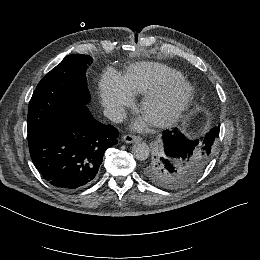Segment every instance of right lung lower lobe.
<instances>
[{
	"label": "right lung lower lobe",
	"mask_w": 260,
	"mask_h": 260,
	"mask_svg": "<svg viewBox=\"0 0 260 260\" xmlns=\"http://www.w3.org/2000/svg\"><path fill=\"white\" fill-rule=\"evenodd\" d=\"M118 130L95 120L86 105L28 135L33 163L52 186L80 190L90 185Z\"/></svg>",
	"instance_id": "right-lung-lower-lobe-1"
}]
</instances>
